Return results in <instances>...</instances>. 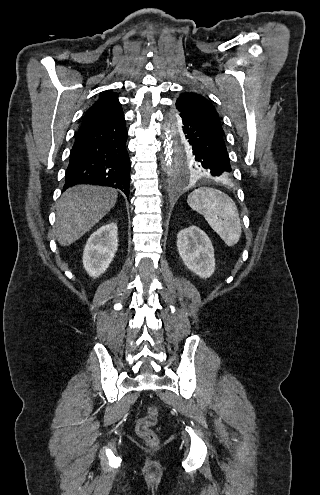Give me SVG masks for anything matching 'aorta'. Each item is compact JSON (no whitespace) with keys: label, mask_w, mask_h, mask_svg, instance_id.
Returning <instances> with one entry per match:
<instances>
[{"label":"aorta","mask_w":320,"mask_h":495,"mask_svg":"<svg viewBox=\"0 0 320 495\" xmlns=\"http://www.w3.org/2000/svg\"><path fill=\"white\" fill-rule=\"evenodd\" d=\"M163 147L166 166L169 168L171 166V156H172V127L168 125L164 130L163 137ZM187 179H181L176 183V187L180 188L186 183Z\"/></svg>","instance_id":"obj_1"}]
</instances>
